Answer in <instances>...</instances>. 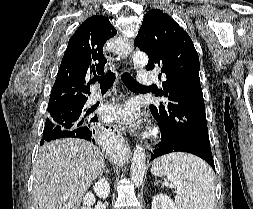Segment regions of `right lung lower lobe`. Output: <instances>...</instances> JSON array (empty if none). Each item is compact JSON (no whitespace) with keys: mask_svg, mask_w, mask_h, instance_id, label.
I'll list each match as a JSON object with an SVG mask.
<instances>
[{"mask_svg":"<svg viewBox=\"0 0 253 209\" xmlns=\"http://www.w3.org/2000/svg\"><path fill=\"white\" fill-rule=\"evenodd\" d=\"M98 122L97 116L91 118V121L88 123L87 126L78 127L75 129L70 130H61L53 134H44L43 141L49 142L54 139L58 138H65V137H73V138H80L95 144V124ZM41 144H43L41 142Z\"/></svg>","mask_w":253,"mask_h":209,"instance_id":"obj_1","label":"right lung lower lobe"}]
</instances>
